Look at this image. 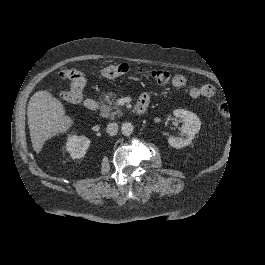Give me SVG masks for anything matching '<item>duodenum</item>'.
<instances>
[{
    "mask_svg": "<svg viewBox=\"0 0 265 265\" xmlns=\"http://www.w3.org/2000/svg\"><path fill=\"white\" fill-rule=\"evenodd\" d=\"M84 106L86 109L90 111H95L98 107V103L95 99L93 98H88L84 101ZM147 109V105L141 102H138L135 108V111L137 114H143L145 113Z\"/></svg>",
    "mask_w": 265,
    "mask_h": 265,
    "instance_id": "410a0bca",
    "label": "duodenum"
}]
</instances>
